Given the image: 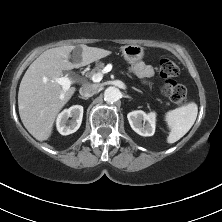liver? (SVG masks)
Here are the masks:
<instances>
[{"instance_id":"obj_1","label":"liver","mask_w":222,"mask_h":222,"mask_svg":"<svg viewBox=\"0 0 222 222\" xmlns=\"http://www.w3.org/2000/svg\"><path fill=\"white\" fill-rule=\"evenodd\" d=\"M81 51L74 62L69 61L73 45L48 49L27 69L19 87L18 108L27 131L38 141L47 140L52 133L57 114L76 91L70 87L63 91L55 82L63 71L80 68L111 54V51L80 45Z\"/></svg>"}]
</instances>
